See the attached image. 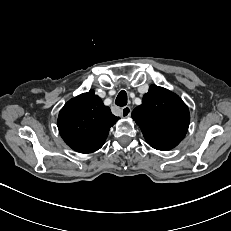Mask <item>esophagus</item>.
I'll list each match as a JSON object with an SVG mask.
<instances>
[{
  "label": "esophagus",
  "mask_w": 231,
  "mask_h": 231,
  "mask_svg": "<svg viewBox=\"0 0 231 231\" xmlns=\"http://www.w3.org/2000/svg\"><path fill=\"white\" fill-rule=\"evenodd\" d=\"M131 114V107L130 106H125L121 109V116L123 118L129 117Z\"/></svg>",
  "instance_id": "1"
}]
</instances>
